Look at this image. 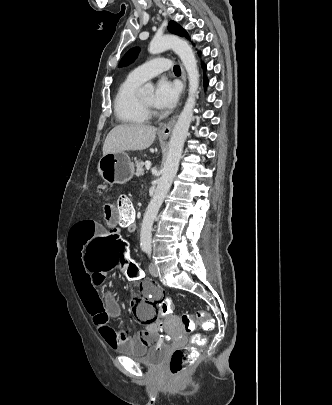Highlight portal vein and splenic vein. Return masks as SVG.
Returning <instances> with one entry per match:
<instances>
[{"mask_svg": "<svg viewBox=\"0 0 332 405\" xmlns=\"http://www.w3.org/2000/svg\"><path fill=\"white\" fill-rule=\"evenodd\" d=\"M145 167H146L147 169H149V168L151 167V162H147V163L145 164Z\"/></svg>", "mask_w": 332, "mask_h": 405, "instance_id": "obj_1", "label": "portal vein and splenic vein"}]
</instances>
